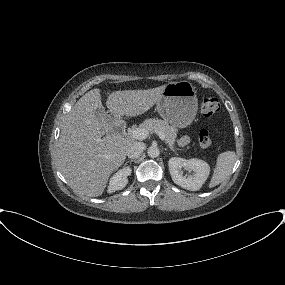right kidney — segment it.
Returning a JSON list of instances; mask_svg holds the SVG:
<instances>
[{
    "instance_id": "ca27d5eb",
    "label": "right kidney",
    "mask_w": 285,
    "mask_h": 285,
    "mask_svg": "<svg viewBox=\"0 0 285 285\" xmlns=\"http://www.w3.org/2000/svg\"><path fill=\"white\" fill-rule=\"evenodd\" d=\"M129 166L117 171L110 179L108 186V193H113L117 190H122L128 183L127 177L131 174Z\"/></svg>"
}]
</instances>
